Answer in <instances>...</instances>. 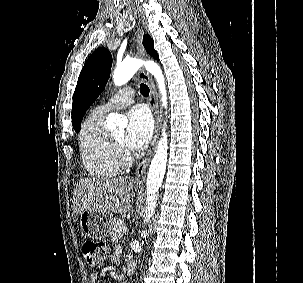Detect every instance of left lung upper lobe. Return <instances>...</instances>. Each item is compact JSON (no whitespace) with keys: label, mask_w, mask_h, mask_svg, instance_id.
<instances>
[{"label":"left lung upper lobe","mask_w":303,"mask_h":283,"mask_svg":"<svg viewBox=\"0 0 303 283\" xmlns=\"http://www.w3.org/2000/svg\"><path fill=\"white\" fill-rule=\"evenodd\" d=\"M143 45L147 53L159 59L153 48V40L148 34L143 37ZM111 66L112 55L103 47L96 49L85 62L73 95L72 125L76 132L80 130L87 109L105 89Z\"/></svg>","instance_id":"1"}]
</instances>
